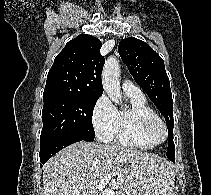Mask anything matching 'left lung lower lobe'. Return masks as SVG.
Returning <instances> with one entry per match:
<instances>
[{"mask_svg": "<svg viewBox=\"0 0 211 195\" xmlns=\"http://www.w3.org/2000/svg\"><path fill=\"white\" fill-rule=\"evenodd\" d=\"M171 161H173V162H174V161H175V158H173Z\"/></svg>", "mask_w": 211, "mask_h": 195, "instance_id": "obj_1", "label": "left lung lower lobe"}]
</instances>
